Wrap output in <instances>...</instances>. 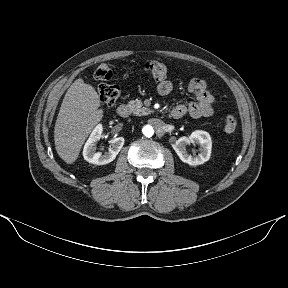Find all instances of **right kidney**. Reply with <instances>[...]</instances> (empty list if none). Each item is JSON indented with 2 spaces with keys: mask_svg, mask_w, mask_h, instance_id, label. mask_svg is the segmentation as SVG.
I'll list each match as a JSON object with an SVG mask.
<instances>
[{
  "mask_svg": "<svg viewBox=\"0 0 288 288\" xmlns=\"http://www.w3.org/2000/svg\"><path fill=\"white\" fill-rule=\"evenodd\" d=\"M102 131V125H97L92 131L83 149L84 159L95 165H104L112 162L124 145V138L117 137L109 141L111 145L108 152H105L104 154L96 152V145L101 138Z\"/></svg>",
  "mask_w": 288,
  "mask_h": 288,
  "instance_id": "obj_1",
  "label": "right kidney"
}]
</instances>
